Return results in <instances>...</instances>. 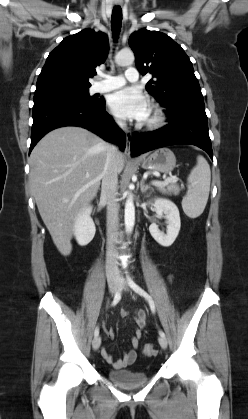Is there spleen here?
Listing matches in <instances>:
<instances>
[{"label":"spleen","instance_id":"3e777b00","mask_svg":"<svg viewBox=\"0 0 248 419\" xmlns=\"http://www.w3.org/2000/svg\"><path fill=\"white\" fill-rule=\"evenodd\" d=\"M189 188L182 200V208L190 218H197L202 214L208 201L211 171L206 159L199 155L197 165L188 176Z\"/></svg>","mask_w":248,"mask_h":419}]
</instances>
